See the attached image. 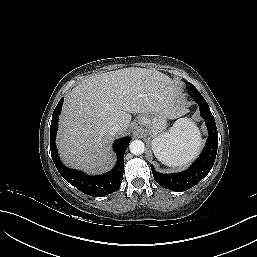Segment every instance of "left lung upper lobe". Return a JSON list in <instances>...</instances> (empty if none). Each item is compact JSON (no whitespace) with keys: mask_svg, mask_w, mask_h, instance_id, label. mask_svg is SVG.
Returning a JSON list of instances; mask_svg holds the SVG:
<instances>
[{"mask_svg":"<svg viewBox=\"0 0 257 257\" xmlns=\"http://www.w3.org/2000/svg\"><path fill=\"white\" fill-rule=\"evenodd\" d=\"M186 84V88L188 89L189 91V94L192 95V94H196V95H199V91L189 82H185Z\"/></svg>","mask_w":257,"mask_h":257,"instance_id":"left-lung-upper-lobe-1","label":"left lung upper lobe"}]
</instances>
